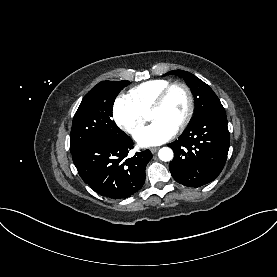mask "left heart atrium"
Returning <instances> with one entry per match:
<instances>
[{
	"mask_svg": "<svg viewBox=\"0 0 277 277\" xmlns=\"http://www.w3.org/2000/svg\"><path fill=\"white\" fill-rule=\"evenodd\" d=\"M176 128L163 120H155L135 135L137 143L143 147L156 146L174 136Z\"/></svg>",
	"mask_w": 277,
	"mask_h": 277,
	"instance_id": "obj_1",
	"label": "left heart atrium"
}]
</instances>
